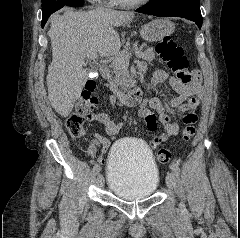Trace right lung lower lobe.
<instances>
[{
	"mask_svg": "<svg viewBox=\"0 0 240 238\" xmlns=\"http://www.w3.org/2000/svg\"><path fill=\"white\" fill-rule=\"evenodd\" d=\"M83 4H84V1H83V0H74L73 2L70 3L69 6H72V7H81V6H83ZM46 22H47V21L42 22V26H44Z\"/></svg>",
	"mask_w": 240,
	"mask_h": 238,
	"instance_id": "98d812e1",
	"label": "right lung lower lobe"
}]
</instances>
